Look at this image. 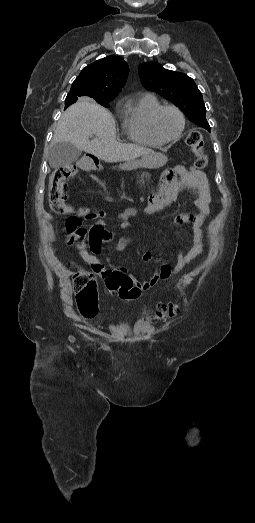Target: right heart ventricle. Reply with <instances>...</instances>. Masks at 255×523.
Here are the masks:
<instances>
[{"label": "right heart ventricle", "mask_w": 255, "mask_h": 523, "mask_svg": "<svg viewBox=\"0 0 255 523\" xmlns=\"http://www.w3.org/2000/svg\"><path fill=\"white\" fill-rule=\"evenodd\" d=\"M160 105V99L153 92H146L126 105L120 125L129 142L146 146L162 144L152 135L149 127L150 117Z\"/></svg>", "instance_id": "1"}]
</instances>
